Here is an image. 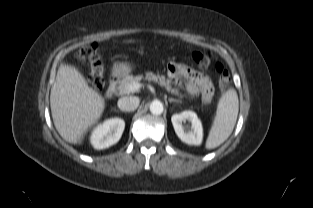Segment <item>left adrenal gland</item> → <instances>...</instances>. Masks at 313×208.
Returning a JSON list of instances; mask_svg holds the SVG:
<instances>
[{
	"mask_svg": "<svg viewBox=\"0 0 313 208\" xmlns=\"http://www.w3.org/2000/svg\"><path fill=\"white\" fill-rule=\"evenodd\" d=\"M168 101L171 103V102H180L179 100H176L174 98H169Z\"/></svg>",
	"mask_w": 313,
	"mask_h": 208,
	"instance_id": "1",
	"label": "left adrenal gland"
}]
</instances>
